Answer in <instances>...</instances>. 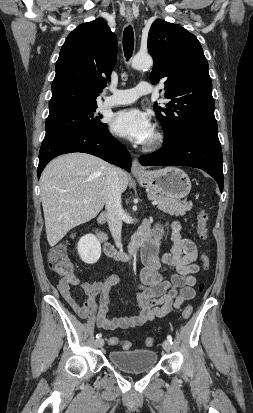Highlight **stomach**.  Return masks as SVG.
<instances>
[{
	"mask_svg": "<svg viewBox=\"0 0 253 413\" xmlns=\"http://www.w3.org/2000/svg\"><path fill=\"white\" fill-rule=\"evenodd\" d=\"M136 178L141 186L175 200L186 197L191 190L188 175L177 167L146 171Z\"/></svg>",
	"mask_w": 253,
	"mask_h": 413,
	"instance_id": "obj_1",
	"label": "stomach"
}]
</instances>
